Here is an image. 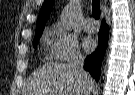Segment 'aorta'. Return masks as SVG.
Here are the masks:
<instances>
[{
    "label": "aorta",
    "mask_w": 135,
    "mask_h": 95,
    "mask_svg": "<svg viewBox=\"0 0 135 95\" xmlns=\"http://www.w3.org/2000/svg\"><path fill=\"white\" fill-rule=\"evenodd\" d=\"M75 7L68 6L61 15V24L66 30H71L75 25Z\"/></svg>",
    "instance_id": "aorta-1"
}]
</instances>
